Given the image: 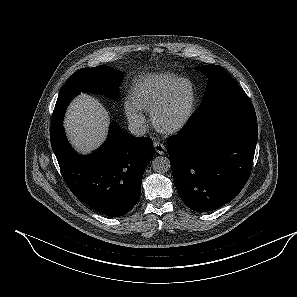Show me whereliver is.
Wrapping results in <instances>:
<instances>
[{
	"label": "liver",
	"mask_w": 297,
	"mask_h": 297,
	"mask_svg": "<svg viewBox=\"0 0 297 297\" xmlns=\"http://www.w3.org/2000/svg\"><path fill=\"white\" fill-rule=\"evenodd\" d=\"M108 126V112L97 99L87 94H81L73 100L64 120L69 141L77 151L83 153L103 143Z\"/></svg>",
	"instance_id": "liver-1"
}]
</instances>
